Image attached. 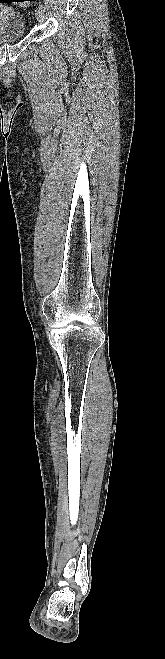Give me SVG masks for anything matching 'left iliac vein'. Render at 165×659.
<instances>
[{
    "label": "left iliac vein",
    "instance_id": "4c4485c4",
    "mask_svg": "<svg viewBox=\"0 0 165 659\" xmlns=\"http://www.w3.org/2000/svg\"><path fill=\"white\" fill-rule=\"evenodd\" d=\"M35 17L38 20V22L44 23V21H45V12H44V10H42L40 8H37L35 10Z\"/></svg>",
    "mask_w": 165,
    "mask_h": 659
}]
</instances>
